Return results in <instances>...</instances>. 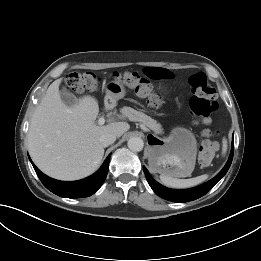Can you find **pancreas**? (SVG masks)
I'll list each match as a JSON object with an SVG mask.
<instances>
[{"label":"pancreas","mask_w":261,"mask_h":261,"mask_svg":"<svg viewBox=\"0 0 261 261\" xmlns=\"http://www.w3.org/2000/svg\"><path fill=\"white\" fill-rule=\"evenodd\" d=\"M122 113L127 116L131 121H138L141 122L143 125L155 130H160V125L157 124L156 120L152 119L151 117L147 116L143 112L136 111L130 107H124L122 109Z\"/></svg>","instance_id":"1"}]
</instances>
